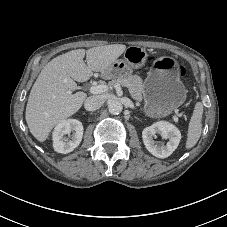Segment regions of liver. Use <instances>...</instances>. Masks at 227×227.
<instances>
[{"label": "liver", "mask_w": 227, "mask_h": 227, "mask_svg": "<svg viewBox=\"0 0 227 227\" xmlns=\"http://www.w3.org/2000/svg\"><path fill=\"white\" fill-rule=\"evenodd\" d=\"M123 44L77 49L52 59L40 72L28 98L25 118L31 134L44 142L52 129L75 114L86 100L77 89L78 82L90 79L94 72H103L125 52ZM86 55L87 64L84 62Z\"/></svg>", "instance_id": "1"}]
</instances>
